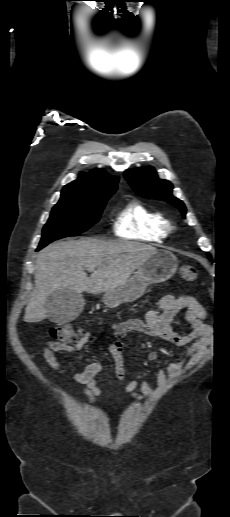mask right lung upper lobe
<instances>
[{
    "mask_svg": "<svg viewBox=\"0 0 230 517\" xmlns=\"http://www.w3.org/2000/svg\"><path fill=\"white\" fill-rule=\"evenodd\" d=\"M118 178L112 177L103 170L81 173L75 180L62 189L61 199L86 200L96 198L107 192H115Z\"/></svg>",
    "mask_w": 230,
    "mask_h": 517,
    "instance_id": "cb5924a9",
    "label": "right lung upper lobe"
}]
</instances>
